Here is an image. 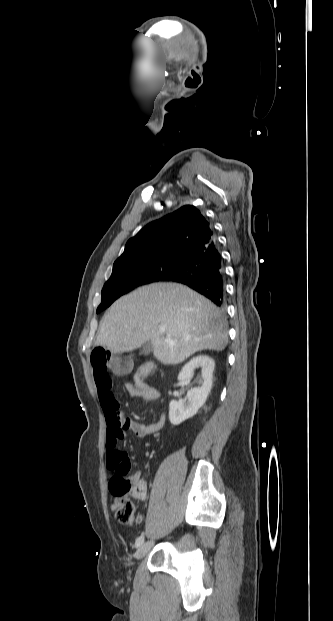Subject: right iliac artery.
<instances>
[{
    "mask_svg": "<svg viewBox=\"0 0 333 621\" xmlns=\"http://www.w3.org/2000/svg\"><path fill=\"white\" fill-rule=\"evenodd\" d=\"M143 542H144V536H143V535H141V536H139V537L136 539V542H135V547L137 548V547L141 546V545L143 544Z\"/></svg>",
    "mask_w": 333,
    "mask_h": 621,
    "instance_id": "1",
    "label": "right iliac artery"
}]
</instances>
